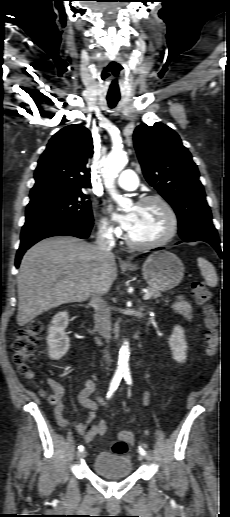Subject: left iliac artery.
I'll return each mask as SVG.
<instances>
[{"mask_svg":"<svg viewBox=\"0 0 230 517\" xmlns=\"http://www.w3.org/2000/svg\"><path fill=\"white\" fill-rule=\"evenodd\" d=\"M124 379H125V381H126V383H127L128 385H131V384H132V378H131V374H130V371H129V370H125V371H124ZM138 451H139V453H140L141 455H146V451H145L142 447H140V446H139Z\"/></svg>","mask_w":230,"mask_h":517,"instance_id":"1","label":"left iliac artery"}]
</instances>
